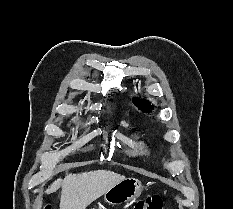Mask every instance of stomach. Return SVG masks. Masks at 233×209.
Returning a JSON list of instances; mask_svg holds the SVG:
<instances>
[{
	"label": "stomach",
	"mask_w": 233,
	"mask_h": 209,
	"mask_svg": "<svg viewBox=\"0 0 233 209\" xmlns=\"http://www.w3.org/2000/svg\"><path fill=\"white\" fill-rule=\"evenodd\" d=\"M142 189L143 186L138 179L124 178L103 194L104 200L111 205L123 204L139 197Z\"/></svg>",
	"instance_id": "obj_1"
}]
</instances>
